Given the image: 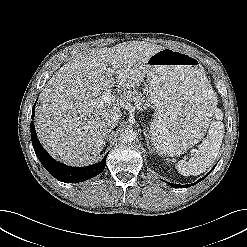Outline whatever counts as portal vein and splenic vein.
Returning a JSON list of instances; mask_svg holds the SVG:
<instances>
[{
	"label": "portal vein and splenic vein",
	"mask_w": 247,
	"mask_h": 247,
	"mask_svg": "<svg viewBox=\"0 0 247 247\" xmlns=\"http://www.w3.org/2000/svg\"><path fill=\"white\" fill-rule=\"evenodd\" d=\"M110 71L111 73L113 72L112 69ZM110 101H111V95L109 92H104L102 96L99 98L100 103H109Z\"/></svg>",
	"instance_id": "obj_1"
}]
</instances>
